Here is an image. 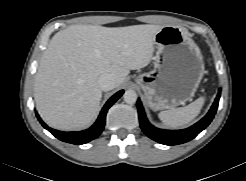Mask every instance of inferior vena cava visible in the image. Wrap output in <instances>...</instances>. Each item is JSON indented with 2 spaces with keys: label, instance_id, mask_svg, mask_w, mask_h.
<instances>
[{
  "label": "inferior vena cava",
  "instance_id": "1",
  "mask_svg": "<svg viewBox=\"0 0 246 181\" xmlns=\"http://www.w3.org/2000/svg\"><path fill=\"white\" fill-rule=\"evenodd\" d=\"M98 85L102 91H109L115 88V79L109 74H102L98 79Z\"/></svg>",
  "mask_w": 246,
  "mask_h": 181
}]
</instances>
